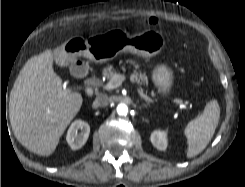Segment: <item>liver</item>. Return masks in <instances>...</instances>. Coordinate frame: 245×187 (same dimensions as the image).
<instances>
[{
    "label": "liver",
    "instance_id": "obj_1",
    "mask_svg": "<svg viewBox=\"0 0 245 187\" xmlns=\"http://www.w3.org/2000/svg\"><path fill=\"white\" fill-rule=\"evenodd\" d=\"M54 52L45 50L21 69L9 99V117L16 139L29 151L51 155L83 98L64 88L54 72Z\"/></svg>",
    "mask_w": 245,
    "mask_h": 187
}]
</instances>
